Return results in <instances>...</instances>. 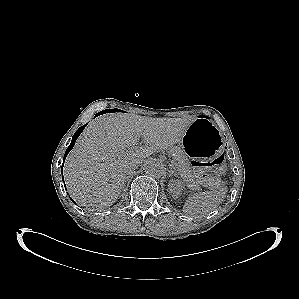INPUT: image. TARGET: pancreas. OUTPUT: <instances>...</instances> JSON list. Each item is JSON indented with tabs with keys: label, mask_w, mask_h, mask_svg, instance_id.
Listing matches in <instances>:
<instances>
[{
	"label": "pancreas",
	"mask_w": 299,
	"mask_h": 299,
	"mask_svg": "<svg viewBox=\"0 0 299 299\" xmlns=\"http://www.w3.org/2000/svg\"><path fill=\"white\" fill-rule=\"evenodd\" d=\"M170 151L174 154V166L178 171V174L188 184L189 188L192 190H199V179L193 174L187 155L177 147L172 148Z\"/></svg>",
	"instance_id": "pancreas-1"
}]
</instances>
